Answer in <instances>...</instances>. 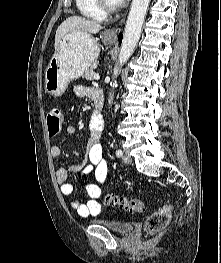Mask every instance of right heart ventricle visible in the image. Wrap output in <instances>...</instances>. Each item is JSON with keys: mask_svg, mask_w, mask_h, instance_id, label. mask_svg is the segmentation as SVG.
I'll list each match as a JSON object with an SVG mask.
<instances>
[{"mask_svg": "<svg viewBox=\"0 0 221 263\" xmlns=\"http://www.w3.org/2000/svg\"><path fill=\"white\" fill-rule=\"evenodd\" d=\"M79 12L86 18L94 21H103L106 13L103 12L95 0H75Z\"/></svg>", "mask_w": 221, "mask_h": 263, "instance_id": "e07e8e85", "label": "right heart ventricle"}]
</instances>
